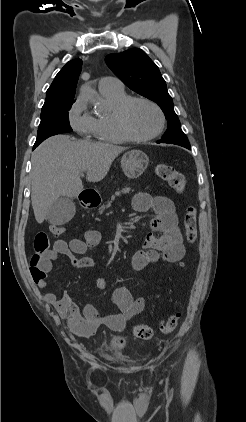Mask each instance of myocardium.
<instances>
[{"mask_svg": "<svg viewBox=\"0 0 246 422\" xmlns=\"http://www.w3.org/2000/svg\"><path fill=\"white\" fill-rule=\"evenodd\" d=\"M143 102L150 106H152L158 113L160 118V123L158 129L146 136H139L131 129L128 123V111L134 103ZM115 118L118 124V127L122 131V133L133 142H147L157 138L164 130L166 125V117L162 110V108L153 100L146 98V97H128L122 103H120L116 110H115Z\"/></svg>", "mask_w": 246, "mask_h": 422, "instance_id": "obj_1", "label": "myocardium"}]
</instances>
